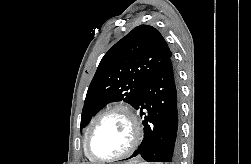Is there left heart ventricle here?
Listing matches in <instances>:
<instances>
[{"instance_id": "b2bd125f", "label": "left heart ventricle", "mask_w": 251, "mask_h": 164, "mask_svg": "<svg viewBox=\"0 0 251 164\" xmlns=\"http://www.w3.org/2000/svg\"><path fill=\"white\" fill-rule=\"evenodd\" d=\"M132 138L130 122L120 112L105 116L96 127L90 144L92 154L109 158L124 152Z\"/></svg>"}]
</instances>
